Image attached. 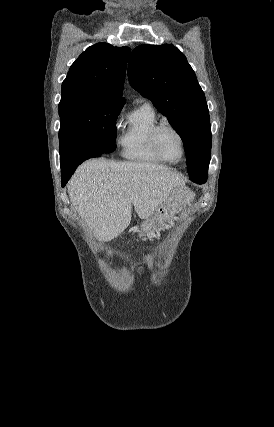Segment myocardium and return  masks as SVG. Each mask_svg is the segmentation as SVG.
I'll return each instance as SVG.
<instances>
[{
  "mask_svg": "<svg viewBox=\"0 0 274 427\" xmlns=\"http://www.w3.org/2000/svg\"><path fill=\"white\" fill-rule=\"evenodd\" d=\"M166 129L173 131L180 138V141L182 144V156H181L179 161L169 160L161 151V148L159 145V136H160V133ZM151 146H152L153 150L155 151V153L162 159V161L165 163H168V164H172V165L180 164L181 162L184 161V159L187 155V145H186V140H185L184 135L181 133V131L178 128H176L175 126H173L172 124H169V123H160V124L156 125V127L154 128V130L151 134Z\"/></svg>",
  "mask_w": 274,
  "mask_h": 427,
  "instance_id": "f54148a6",
  "label": "myocardium"
}]
</instances>
